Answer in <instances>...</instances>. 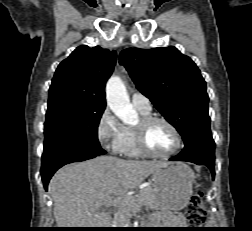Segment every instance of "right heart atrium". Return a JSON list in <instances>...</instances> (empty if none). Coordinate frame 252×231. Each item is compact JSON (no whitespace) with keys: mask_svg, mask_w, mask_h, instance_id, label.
Returning <instances> with one entry per match:
<instances>
[{"mask_svg":"<svg viewBox=\"0 0 252 231\" xmlns=\"http://www.w3.org/2000/svg\"><path fill=\"white\" fill-rule=\"evenodd\" d=\"M96 133L102 145L119 152L124 137V126L109 108H105L97 122Z\"/></svg>","mask_w":252,"mask_h":231,"instance_id":"d8ad5b80","label":"right heart atrium"}]
</instances>
